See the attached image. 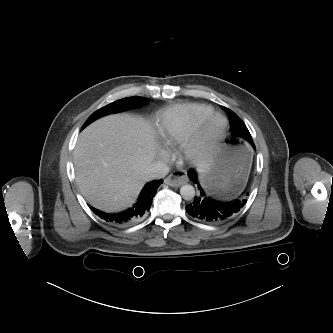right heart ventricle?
Segmentation results:
<instances>
[{
	"label": "right heart ventricle",
	"mask_w": 333,
	"mask_h": 333,
	"mask_svg": "<svg viewBox=\"0 0 333 333\" xmlns=\"http://www.w3.org/2000/svg\"><path fill=\"white\" fill-rule=\"evenodd\" d=\"M213 108L202 103H187L170 107L161 114L158 134L167 147H175L183 143L193 126L207 117Z\"/></svg>",
	"instance_id": "obj_1"
}]
</instances>
